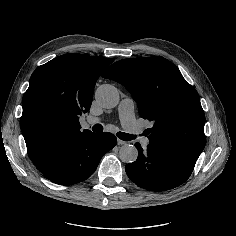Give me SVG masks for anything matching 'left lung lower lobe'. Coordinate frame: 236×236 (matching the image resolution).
<instances>
[{
  "label": "left lung lower lobe",
  "instance_id": "obj_1",
  "mask_svg": "<svg viewBox=\"0 0 236 236\" xmlns=\"http://www.w3.org/2000/svg\"><path fill=\"white\" fill-rule=\"evenodd\" d=\"M138 158L126 165L128 177L137 186L151 191H165L184 183L191 175L196 160L169 146L150 142L147 150L139 143Z\"/></svg>",
  "mask_w": 236,
  "mask_h": 236
}]
</instances>
